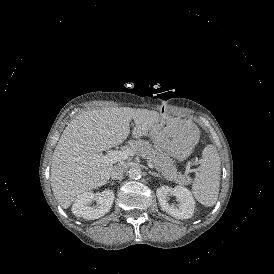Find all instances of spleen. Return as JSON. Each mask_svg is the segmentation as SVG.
<instances>
[{
    "mask_svg": "<svg viewBox=\"0 0 274 274\" xmlns=\"http://www.w3.org/2000/svg\"><path fill=\"white\" fill-rule=\"evenodd\" d=\"M199 139V135H198ZM221 162L216 147L212 144L204 147L200 167L193 180L190 194L201 205H215L219 193Z\"/></svg>",
    "mask_w": 274,
    "mask_h": 274,
    "instance_id": "obj_1",
    "label": "spleen"
}]
</instances>
